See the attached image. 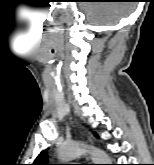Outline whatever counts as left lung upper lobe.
Here are the masks:
<instances>
[{
  "mask_svg": "<svg viewBox=\"0 0 154 165\" xmlns=\"http://www.w3.org/2000/svg\"><path fill=\"white\" fill-rule=\"evenodd\" d=\"M97 136V135H96ZM32 165H49L48 164V157H47V150H43L34 160Z\"/></svg>",
  "mask_w": 154,
  "mask_h": 165,
  "instance_id": "5c2ea615",
  "label": "left lung upper lobe"
}]
</instances>
